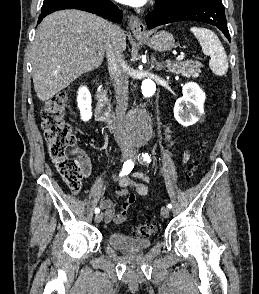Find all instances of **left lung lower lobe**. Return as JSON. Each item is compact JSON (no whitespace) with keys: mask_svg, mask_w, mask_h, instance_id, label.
Masks as SVG:
<instances>
[{"mask_svg":"<svg viewBox=\"0 0 259 294\" xmlns=\"http://www.w3.org/2000/svg\"><path fill=\"white\" fill-rule=\"evenodd\" d=\"M200 21L219 28L230 41L225 10L221 0H187L172 7L163 8L156 0L154 11L146 16L149 29L177 21Z\"/></svg>","mask_w":259,"mask_h":294,"instance_id":"obj_1","label":"left lung lower lobe"}]
</instances>
